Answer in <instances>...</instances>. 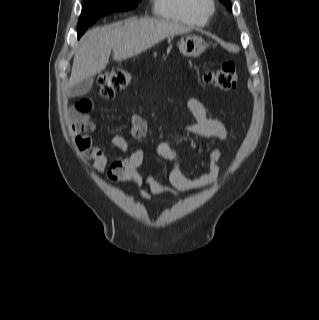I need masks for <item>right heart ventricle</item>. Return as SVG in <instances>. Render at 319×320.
Returning <instances> with one entry per match:
<instances>
[{
  "mask_svg": "<svg viewBox=\"0 0 319 320\" xmlns=\"http://www.w3.org/2000/svg\"><path fill=\"white\" fill-rule=\"evenodd\" d=\"M153 12L191 26H204L211 16L208 0H153Z\"/></svg>",
  "mask_w": 319,
  "mask_h": 320,
  "instance_id": "right-heart-ventricle-1",
  "label": "right heart ventricle"
}]
</instances>
